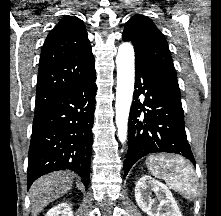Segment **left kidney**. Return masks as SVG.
<instances>
[{"label":"left kidney","instance_id":"1","mask_svg":"<svg viewBox=\"0 0 221 216\" xmlns=\"http://www.w3.org/2000/svg\"><path fill=\"white\" fill-rule=\"evenodd\" d=\"M152 192L157 199L151 198ZM135 199L139 208L149 216H182L168 187L149 175L142 176L136 183ZM156 202L159 203L156 205Z\"/></svg>","mask_w":221,"mask_h":216}]
</instances>
